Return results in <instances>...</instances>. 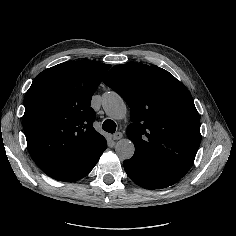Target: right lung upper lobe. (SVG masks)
Here are the masks:
<instances>
[{"label": "right lung upper lobe", "instance_id": "right-lung-upper-lobe-1", "mask_svg": "<svg viewBox=\"0 0 236 236\" xmlns=\"http://www.w3.org/2000/svg\"><path fill=\"white\" fill-rule=\"evenodd\" d=\"M111 65L68 61L41 72L25 94L23 129L36 164L63 181L106 146L91 98Z\"/></svg>", "mask_w": 236, "mask_h": 236}]
</instances>
